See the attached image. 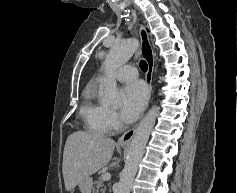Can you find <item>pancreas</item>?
Masks as SVG:
<instances>
[{
  "instance_id": "1",
  "label": "pancreas",
  "mask_w": 237,
  "mask_h": 193,
  "mask_svg": "<svg viewBox=\"0 0 237 193\" xmlns=\"http://www.w3.org/2000/svg\"><path fill=\"white\" fill-rule=\"evenodd\" d=\"M102 176L103 174L100 176L99 180L95 182L96 189H94V193H98L97 191L99 190L100 187L102 188L103 193H105L106 191V186L103 184Z\"/></svg>"
}]
</instances>
